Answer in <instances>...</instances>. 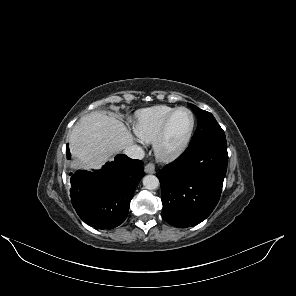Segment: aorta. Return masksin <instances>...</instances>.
<instances>
[{
	"label": "aorta",
	"instance_id": "1",
	"mask_svg": "<svg viewBox=\"0 0 296 296\" xmlns=\"http://www.w3.org/2000/svg\"><path fill=\"white\" fill-rule=\"evenodd\" d=\"M159 180L154 175H146L143 178V186L148 190H155L159 187Z\"/></svg>",
	"mask_w": 296,
	"mask_h": 296
}]
</instances>
